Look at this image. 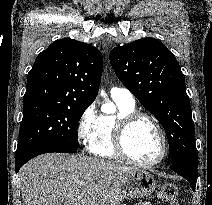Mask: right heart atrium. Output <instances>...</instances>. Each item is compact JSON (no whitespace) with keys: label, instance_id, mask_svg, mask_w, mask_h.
Instances as JSON below:
<instances>
[{"label":"right heart atrium","instance_id":"d8ad5b80","mask_svg":"<svg viewBox=\"0 0 212 205\" xmlns=\"http://www.w3.org/2000/svg\"><path fill=\"white\" fill-rule=\"evenodd\" d=\"M97 121L95 105L91 104L82 112L77 123L76 135L79 143L82 145L90 143L96 130Z\"/></svg>","mask_w":212,"mask_h":205}]
</instances>
